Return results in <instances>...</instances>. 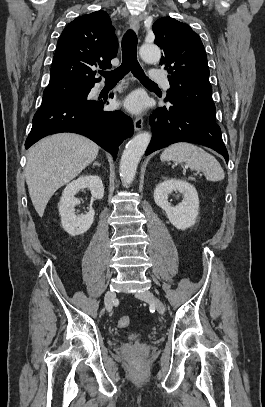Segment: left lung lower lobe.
<instances>
[{"instance_id": "obj_1", "label": "left lung lower lobe", "mask_w": 265, "mask_h": 407, "mask_svg": "<svg viewBox=\"0 0 265 407\" xmlns=\"http://www.w3.org/2000/svg\"><path fill=\"white\" fill-rule=\"evenodd\" d=\"M150 125L153 137L146 155L176 142H191L212 148L228 163L219 125L198 111L171 103L152 113Z\"/></svg>"}]
</instances>
